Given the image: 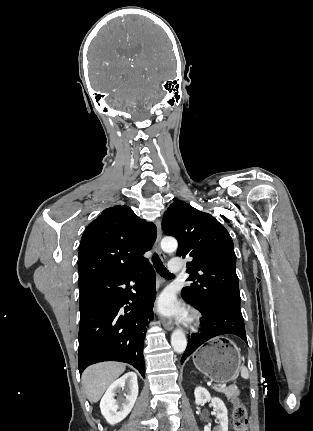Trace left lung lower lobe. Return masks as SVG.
Instances as JSON below:
<instances>
[{"mask_svg": "<svg viewBox=\"0 0 313 431\" xmlns=\"http://www.w3.org/2000/svg\"><path fill=\"white\" fill-rule=\"evenodd\" d=\"M197 309L202 313L201 324L203 327L200 333L188 337V345L181 358V363L199 346L215 336L233 334L241 337L247 343L240 305L213 303Z\"/></svg>", "mask_w": 313, "mask_h": 431, "instance_id": "0a47b994", "label": "left lung lower lobe"}]
</instances>
